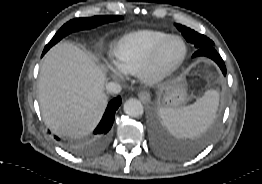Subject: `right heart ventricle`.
Here are the masks:
<instances>
[{
	"label": "right heart ventricle",
	"mask_w": 262,
	"mask_h": 184,
	"mask_svg": "<svg viewBox=\"0 0 262 184\" xmlns=\"http://www.w3.org/2000/svg\"><path fill=\"white\" fill-rule=\"evenodd\" d=\"M170 34L155 30H138L123 35L114 46L117 65L125 73H136L152 52Z\"/></svg>",
	"instance_id": "obj_1"
}]
</instances>
